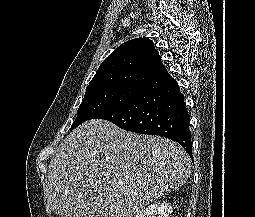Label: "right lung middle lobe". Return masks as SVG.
I'll list each match as a JSON object with an SVG mask.
<instances>
[{"label":"right lung middle lobe","instance_id":"obj_1","mask_svg":"<svg viewBox=\"0 0 255 217\" xmlns=\"http://www.w3.org/2000/svg\"><path fill=\"white\" fill-rule=\"evenodd\" d=\"M146 86L109 85L86 91L71 130L96 115L116 108L140 94Z\"/></svg>","mask_w":255,"mask_h":217}]
</instances>
